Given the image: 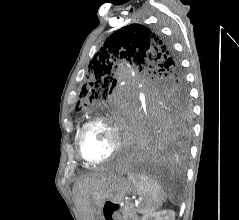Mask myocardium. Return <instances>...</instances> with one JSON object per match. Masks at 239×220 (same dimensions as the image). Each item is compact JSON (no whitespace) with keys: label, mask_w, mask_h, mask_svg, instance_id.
Returning a JSON list of instances; mask_svg holds the SVG:
<instances>
[{"label":"myocardium","mask_w":239,"mask_h":220,"mask_svg":"<svg viewBox=\"0 0 239 220\" xmlns=\"http://www.w3.org/2000/svg\"><path fill=\"white\" fill-rule=\"evenodd\" d=\"M96 124H106L112 129L114 136H115V145H114L113 151L111 152V154L109 156H107L106 158H104L102 160L92 161V160L87 159L83 153V139H84L86 132L92 126H94ZM121 146H122V137H121L120 130H119L118 126L116 125L115 121L112 118L106 117V116H97V117L92 118L88 122H86L80 129L78 136H77L78 155H79L80 159L83 161V163H85L86 165H90V166H98V165H102V164H105V163L111 161L118 154V152L121 149Z\"/></svg>","instance_id":"1"}]
</instances>
